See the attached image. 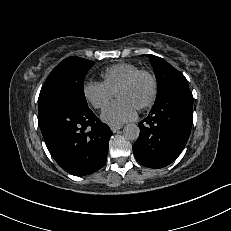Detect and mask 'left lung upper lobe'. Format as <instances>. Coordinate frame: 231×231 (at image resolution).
<instances>
[{"label": "left lung upper lobe", "mask_w": 231, "mask_h": 231, "mask_svg": "<svg viewBox=\"0 0 231 231\" xmlns=\"http://www.w3.org/2000/svg\"><path fill=\"white\" fill-rule=\"evenodd\" d=\"M146 56L150 59L158 83L156 100L175 87L188 86L184 75L164 59L151 54H146Z\"/></svg>", "instance_id": "left-lung-upper-lobe-1"}]
</instances>
